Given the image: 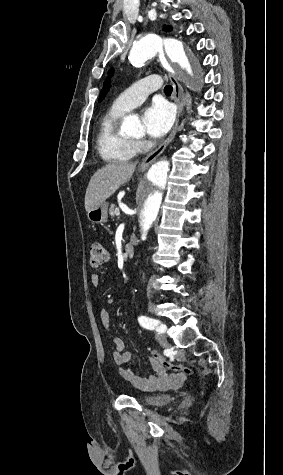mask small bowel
<instances>
[{
  "instance_id": "obj_1",
  "label": "small bowel",
  "mask_w": 283,
  "mask_h": 475,
  "mask_svg": "<svg viewBox=\"0 0 283 475\" xmlns=\"http://www.w3.org/2000/svg\"><path fill=\"white\" fill-rule=\"evenodd\" d=\"M101 278L99 274L93 273L90 275V283L93 287H99ZM99 321L102 328L105 331H108L110 326V313L106 309H101L99 311ZM111 343L114 346V352L112 354L113 362L122 366L129 364L133 361L134 355L129 351H124L125 342L120 337H111ZM154 374L149 376H138L130 368H125L121 370V376L128 382H130L136 388H144L147 386H159L167 385L170 387H177L183 383V378L177 374H168L164 367L161 369H153Z\"/></svg>"
}]
</instances>
